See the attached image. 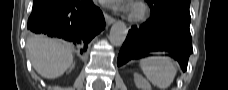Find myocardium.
<instances>
[{
  "label": "myocardium",
  "instance_id": "myocardium-1",
  "mask_svg": "<svg viewBox=\"0 0 228 90\" xmlns=\"http://www.w3.org/2000/svg\"><path fill=\"white\" fill-rule=\"evenodd\" d=\"M146 14V7L142 4L137 3L131 9L129 19L133 22H140L145 19Z\"/></svg>",
  "mask_w": 228,
  "mask_h": 90
}]
</instances>
